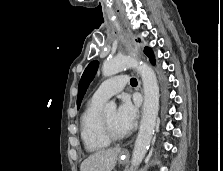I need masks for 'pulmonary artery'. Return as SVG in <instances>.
<instances>
[{"label": "pulmonary artery", "mask_w": 223, "mask_h": 171, "mask_svg": "<svg viewBox=\"0 0 223 171\" xmlns=\"http://www.w3.org/2000/svg\"><path fill=\"white\" fill-rule=\"evenodd\" d=\"M128 81L127 76L119 75L102 82L93 94V98L106 101L110 97L120 93Z\"/></svg>", "instance_id": "e3ab8cb5"}]
</instances>
